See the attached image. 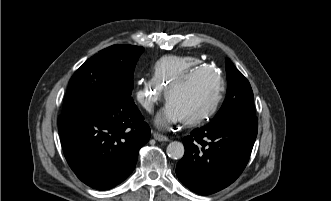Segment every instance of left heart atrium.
Instances as JSON below:
<instances>
[{"instance_id": "1", "label": "left heart atrium", "mask_w": 331, "mask_h": 201, "mask_svg": "<svg viewBox=\"0 0 331 201\" xmlns=\"http://www.w3.org/2000/svg\"><path fill=\"white\" fill-rule=\"evenodd\" d=\"M181 119H183L182 116L177 112L172 104L169 103L165 110L156 117L155 123L158 127L162 128Z\"/></svg>"}]
</instances>
